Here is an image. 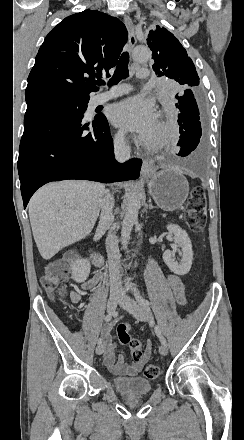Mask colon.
Returning <instances> with one entry per match:
<instances>
[{"label": "colon", "mask_w": 244, "mask_h": 440, "mask_svg": "<svg viewBox=\"0 0 244 440\" xmlns=\"http://www.w3.org/2000/svg\"><path fill=\"white\" fill-rule=\"evenodd\" d=\"M207 219L206 213V199L204 189L197 186L193 189L189 207L186 212V221L193 232H200L203 230ZM72 255L74 252L70 250L68 252ZM72 269V259H64L61 261H54L50 263L45 274L41 277L42 287L54 296H58L64 279L68 276ZM129 322L121 324L117 327V337L121 344L127 345L129 343L131 358L135 362H139L142 359V343L139 340L130 341L126 335ZM125 329V330H123ZM160 366L156 363H150L144 368V376L148 380H155L160 374Z\"/></svg>", "instance_id": "5ec220e1"}]
</instances>
